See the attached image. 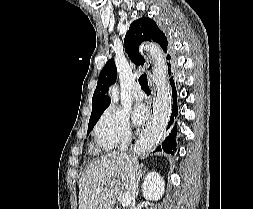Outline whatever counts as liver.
I'll use <instances>...</instances> for the list:
<instances>
[{
  "label": "liver",
  "instance_id": "1",
  "mask_svg": "<svg viewBox=\"0 0 253 209\" xmlns=\"http://www.w3.org/2000/svg\"><path fill=\"white\" fill-rule=\"evenodd\" d=\"M130 167L137 173L142 165L137 157L119 152L91 164L79 181V209H113L119 194L117 184L132 195Z\"/></svg>",
  "mask_w": 253,
  "mask_h": 209
}]
</instances>
